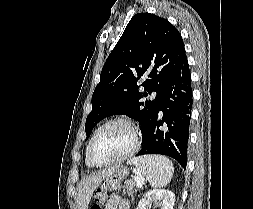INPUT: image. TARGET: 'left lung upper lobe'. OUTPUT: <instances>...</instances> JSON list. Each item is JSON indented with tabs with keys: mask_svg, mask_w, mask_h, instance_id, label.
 Instances as JSON below:
<instances>
[{
	"mask_svg": "<svg viewBox=\"0 0 253 209\" xmlns=\"http://www.w3.org/2000/svg\"><path fill=\"white\" fill-rule=\"evenodd\" d=\"M184 59L182 37L170 22L150 13L134 15L102 68L86 119V140L99 121L124 114L139 122L143 141L163 91ZM140 79L144 91L137 85ZM152 92L156 97L148 100Z\"/></svg>",
	"mask_w": 253,
	"mask_h": 209,
	"instance_id": "left-lung-upper-lobe-1",
	"label": "left lung upper lobe"
}]
</instances>
